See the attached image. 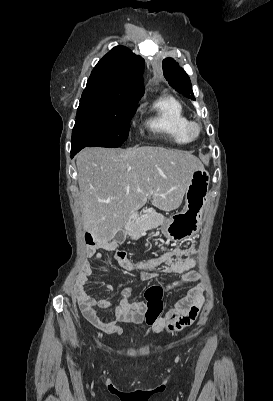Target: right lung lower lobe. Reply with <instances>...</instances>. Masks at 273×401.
Listing matches in <instances>:
<instances>
[{
    "label": "right lung lower lobe",
    "mask_w": 273,
    "mask_h": 401,
    "mask_svg": "<svg viewBox=\"0 0 273 401\" xmlns=\"http://www.w3.org/2000/svg\"><path fill=\"white\" fill-rule=\"evenodd\" d=\"M84 147H72L71 148V158H73L81 149Z\"/></svg>",
    "instance_id": "obj_1"
}]
</instances>
